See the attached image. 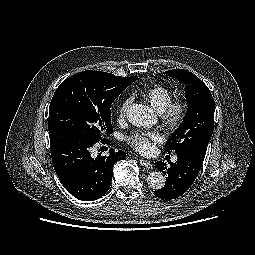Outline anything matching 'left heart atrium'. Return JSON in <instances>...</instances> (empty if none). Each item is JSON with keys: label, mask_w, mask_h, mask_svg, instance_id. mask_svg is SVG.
Listing matches in <instances>:
<instances>
[{"label": "left heart atrium", "mask_w": 255, "mask_h": 255, "mask_svg": "<svg viewBox=\"0 0 255 255\" xmlns=\"http://www.w3.org/2000/svg\"><path fill=\"white\" fill-rule=\"evenodd\" d=\"M158 139L155 132H135L129 135L126 140L139 152H148L151 149V141Z\"/></svg>", "instance_id": "obj_1"}]
</instances>
